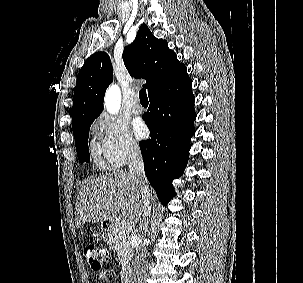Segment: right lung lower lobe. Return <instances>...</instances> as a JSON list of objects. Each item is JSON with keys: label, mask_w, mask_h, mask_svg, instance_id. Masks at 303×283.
<instances>
[{"label": "right lung lower lobe", "mask_w": 303, "mask_h": 283, "mask_svg": "<svg viewBox=\"0 0 303 283\" xmlns=\"http://www.w3.org/2000/svg\"><path fill=\"white\" fill-rule=\"evenodd\" d=\"M150 113L145 122L151 138L140 142L145 174L166 205L173 197L171 181L187 165L190 139L195 133V97L188 74L149 97Z\"/></svg>", "instance_id": "98d812e1"}]
</instances>
